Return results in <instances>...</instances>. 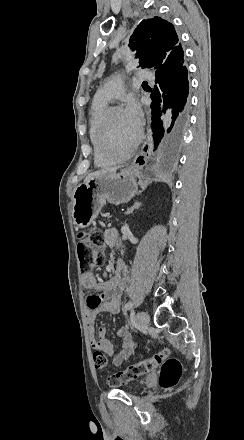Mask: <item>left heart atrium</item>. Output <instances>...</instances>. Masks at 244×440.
I'll return each mask as SVG.
<instances>
[{"label":"left heart atrium","instance_id":"1","mask_svg":"<svg viewBox=\"0 0 244 440\" xmlns=\"http://www.w3.org/2000/svg\"><path fill=\"white\" fill-rule=\"evenodd\" d=\"M123 111L128 125L137 137L144 121L143 111L140 104L137 101H131Z\"/></svg>","mask_w":244,"mask_h":440}]
</instances>
